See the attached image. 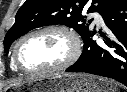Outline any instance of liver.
Returning a JSON list of instances; mask_svg holds the SVG:
<instances>
[{
  "label": "liver",
  "mask_w": 127,
  "mask_h": 92,
  "mask_svg": "<svg viewBox=\"0 0 127 92\" xmlns=\"http://www.w3.org/2000/svg\"><path fill=\"white\" fill-rule=\"evenodd\" d=\"M35 78H36V77L30 78V79L32 80V79H35ZM22 81H23V80H16V81H14V82L12 83V85H18V84L22 83Z\"/></svg>",
  "instance_id": "liver-1"
}]
</instances>
